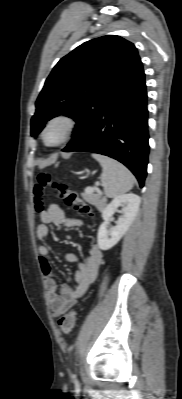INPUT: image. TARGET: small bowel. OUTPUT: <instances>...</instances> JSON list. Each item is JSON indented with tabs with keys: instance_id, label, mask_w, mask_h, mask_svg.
I'll use <instances>...</instances> for the list:
<instances>
[{
	"instance_id": "1",
	"label": "small bowel",
	"mask_w": 182,
	"mask_h": 399,
	"mask_svg": "<svg viewBox=\"0 0 182 399\" xmlns=\"http://www.w3.org/2000/svg\"><path fill=\"white\" fill-rule=\"evenodd\" d=\"M40 224L36 229V238L44 240L49 236V226L52 225L59 230L68 229L82 225V221L76 218L67 217L63 208L53 203L47 210L39 215ZM39 265L43 275L44 286L47 290V299L54 316L67 312L80 297H82L96 278L98 269L102 263V252L97 244L89 247L88 257L81 262L74 254H66L67 261L78 265L74 273L76 285L63 284L58 291V285L52 274L50 262V248L47 245L38 247Z\"/></svg>"
}]
</instances>
